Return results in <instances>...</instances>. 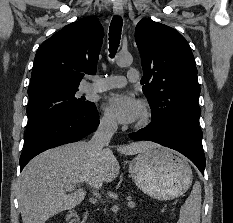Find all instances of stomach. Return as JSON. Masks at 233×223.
<instances>
[{
  "label": "stomach",
  "mask_w": 233,
  "mask_h": 223,
  "mask_svg": "<svg viewBox=\"0 0 233 223\" xmlns=\"http://www.w3.org/2000/svg\"><path fill=\"white\" fill-rule=\"evenodd\" d=\"M137 187L154 199H175L189 189L193 175L187 159L167 147H148L129 165Z\"/></svg>",
  "instance_id": "0dacf381"
}]
</instances>
